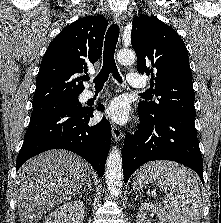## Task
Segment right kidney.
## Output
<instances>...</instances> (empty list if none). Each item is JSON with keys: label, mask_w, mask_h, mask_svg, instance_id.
Returning a JSON list of instances; mask_svg holds the SVG:
<instances>
[{"label": "right kidney", "mask_w": 221, "mask_h": 223, "mask_svg": "<svg viewBox=\"0 0 221 223\" xmlns=\"http://www.w3.org/2000/svg\"><path fill=\"white\" fill-rule=\"evenodd\" d=\"M85 208L82 200L67 202L54 210L46 218L45 223H82Z\"/></svg>", "instance_id": "ca27d5eb"}]
</instances>
